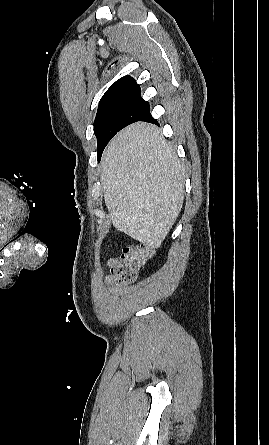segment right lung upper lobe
I'll return each mask as SVG.
<instances>
[{"label": "right lung upper lobe", "instance_id": "cb5924a9", "mask_svg": "<svg viewBox=\"0 0 269 445\" xmlns=\"http://www.w3.org/2000/svg\"><path fill=\"white\" fill-rule=\"evenodd\" d=\"M139 85L136 83V81L130 77V76H124L117 80L115 83H113L110 88L106 91L105 94L116 92V91H122V90H129V89H139ZM104 94V95H105Z\"/></svg>", "mask_w": 269, "mask_h": 445}]
</instances>
